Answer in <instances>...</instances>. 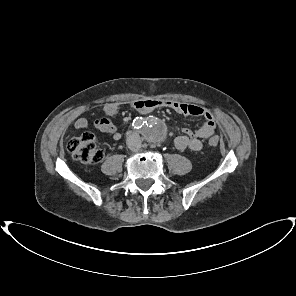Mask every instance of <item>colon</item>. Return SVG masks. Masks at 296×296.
Wrapping results in <instances>:
<instances>
[{"label": "colon", "instance_id": "1", "mask_svg": "<svg viewBox=\"0 0 296 296\" xmlns=\"http://www.w3.org/2000/svg\"><path fill=\"white\" fill-rule=\"evenodd\" d=\"M208 144L211 147H217L219 138L217 136L211 137ZM67 148L75 160L85 164H96L103 158V152L98 146L95 135L89 131L71 137Z\"/></svg>", "mask_w": 296, "mask_h": 296}]
</instances>
